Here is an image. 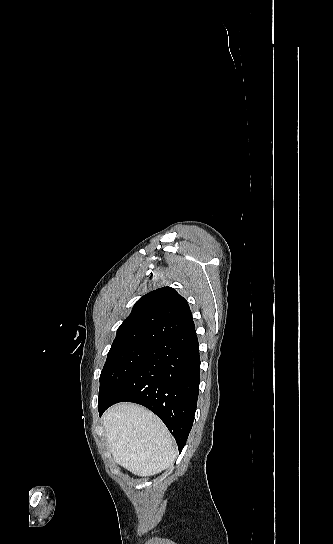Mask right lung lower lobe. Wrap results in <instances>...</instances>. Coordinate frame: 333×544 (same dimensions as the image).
<instances>
[{
    "mask_svg": "<svg viewBox=\"0 0 333 544\" xmlns=\"http://www.w3.org/2000/svg\"><path fill=\"white\" fill-rule=\"evenodd\" d=\"M199 383V344L194 328L152 345L129 380L98 407L99 414L121 401L141 404L165 423L181 453L193 425Z\"/></svg>",
    "mask_w": 333,
    "mask_h": 544,
    "instance_id": "obj_1",
    "label": "right lung lower lobe"
}]
</instances>
